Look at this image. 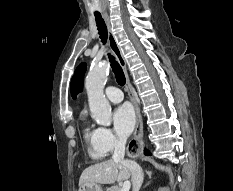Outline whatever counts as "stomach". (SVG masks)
<instances>
[{
    "mask_svg": "<svg viewBox=\"0 0 233 191\" xmlns=\"http://www.w3.org/2000/svg\"><path fill=\"white\" fill-rule=\"evenodd\" d=\"M78 191H103V190L100 185L93 184V185H82L79 187Z\"/></svg>",
    "mask_w": 233,
    "mask_h": 191,
    "instance_id": "stomach-1",
    "label": "stomach"
}]
</instances>
